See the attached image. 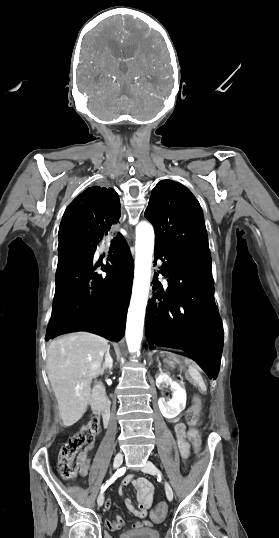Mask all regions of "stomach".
<instances>
[{
  "label": "stomach",
  "instance_id": "stomach-1",
  "mask_svg": "<svg viewBox=\"0 0 279 538\" xmlns=\"http://www.w3.org/2000/svg\"><path fill=\"white\" fill-rule=\"evenodd\" d=\"M164 362H165V364H168V366H174V364H175V355L173 353H166L164 355Z\"/></svg>",
  "mask_w": 279,
  "mask_h": 538
}]
</instances>
